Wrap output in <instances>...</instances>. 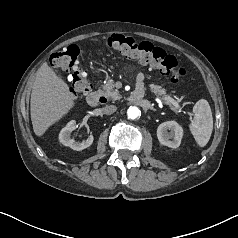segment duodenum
<instances>
[{
	"label": "duodenum",
	"mask_w": 238,
	"mask_h": 238,
	"mask_svg": "<svg viewBox=\"0 0 238 238\" xmlns=\"http://www.w3.org/2000/svg\"><path fill=\"white\" fill-rule=\"evenodd\" d=\"M144 96V88L142 85H137L136 88L131 92L129 96V100L131 102L140 101ZM87 103L92 106L96 107L101 103L106 102V98L103 94L99 91H92L87 95Z\"/></svg>",
	"instance_id": "obj_1"
}]
</instances>
